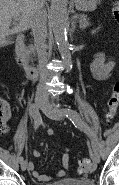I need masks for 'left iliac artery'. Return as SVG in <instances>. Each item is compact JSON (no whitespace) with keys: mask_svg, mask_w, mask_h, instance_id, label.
Here are the masks:
<instances>
[{"mask_svg":"<svg viewBox=\"0 0 119 185\" xmlns=\"http://www.w3.org/2000/svg\"><path fill=\"white\" fill-rule=\"evenodd\" d=\"M64 113L66 117L70 119V121L74 124V126L81 131L85 132L86 134H89V129L80 117V115L73 109L67 108L64 110ZM93 150H97L96 145L92 142Z\"/></svg>","mask_w":119,"mask_h":185,"instance_id":"44dca946","label":"left iliac artery"}]
</instances>
